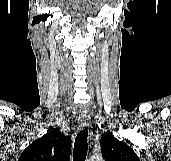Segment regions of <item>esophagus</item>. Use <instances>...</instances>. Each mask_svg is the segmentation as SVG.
I'll return each mask as SVG.
<instances>
[{
    "label": "esophagus",
    "mask_w": 171,
    "mask_h": 161,
    "mask_svg": "<svg viewBox=\"0 0 171 161\" xmlns=\"http://www.w3.org/2000/svg\"><path fill=\"white\" fill-rule=\"evenodd\" d=\"M90 122V117L86 113H80L78 116V124L79 127L84 128L86 127Z\"/></svg>",
    "instance_id": "1"
}]
</instances>
